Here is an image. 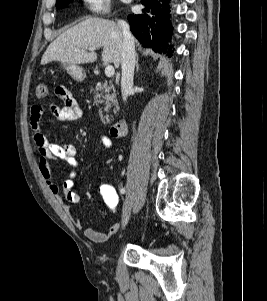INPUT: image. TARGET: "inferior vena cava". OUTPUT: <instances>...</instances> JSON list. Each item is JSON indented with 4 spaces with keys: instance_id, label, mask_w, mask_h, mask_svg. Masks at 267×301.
<instances>
[{
    "instance_id": "1",
    "label": "inferior vena cava",
    "mask_w": 267,
    "mask_h": 301,
    "mask_svg": "<svg viewBox=\"0 0 267 301\" xmlns=\"http://www.w3.org/2000/svg\"><path fill=\"white\" fill-rule=\"evenodd\" d=\"M123 33L122 45V77H121V93L124 101L127 100L130 89L133 86L134 68H135V45L128 23L118 20Z\"/></svg>"
}]
</instances>
